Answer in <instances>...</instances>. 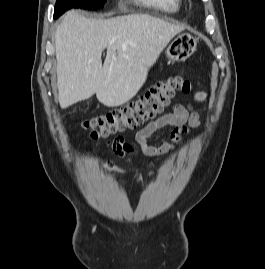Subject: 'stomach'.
I'll list each match as a JSON object with an SVG mask.
<instances>
[{
  "label": "stomach",
  "mask_w": 265,
  "mask_h": 269,
  "mask_svg": "<svg viewBox=\"0 0 265 269\" xmlns=\"http://www.w3.org/2000/svg\"><path fill=\"white\" fill-rule=\"evenodd\" d=\"M197 48V39L189 33L177 35L165 50L166 57L172 62L185 61Z\"/></svg>",
  "instance_id": "obj_1"
}]
</instances>
